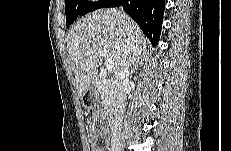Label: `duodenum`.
Returning <instances> with one entry per match:
<instances>
[{"label":"duodenum","instance_id":"duodenum-1","mask_svg":"<svg viewBox=\"0 0 231 151\" xmlns=\"http://www.w3.org/2000/svg\"><path fill=\"white\" fill-rule=\"evenodd\" d=\"M91 104V101L90 100H88V105H90ZM116 112L114 111V110H109L108 112H107V114H106V117H107V120H108V122H109V124H110V127H112V125H113V123H114V121H115V119H116ZM108 135V137H107V142H109V140H110V137H109V134H107Z\"/></svg>","mask_w":231,"mask_h":151}]
</instances>
